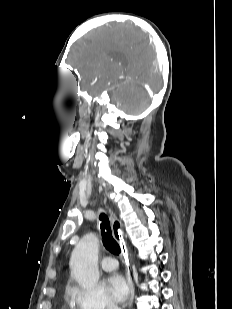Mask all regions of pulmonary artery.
Returning a JSON list of instances; mask_svg holds the SVG:
<instances>
[{
    "label": "pulmonary artery",
    "instance_id": "obj_1",
    "mask_svg": "<svg viewBox=\"0 0 232 309\" xmlns=\"http://www.w3.org/2000/svg\"><path fill=\"white\" fill-rule=\"evenodd\" d=\"M101 268L105 271H112L117 268V261L111 256L104 257L100 262Z\"/></svg>",
    "mask_w": 232,
    "mask_h": 309
}]
</instances>
